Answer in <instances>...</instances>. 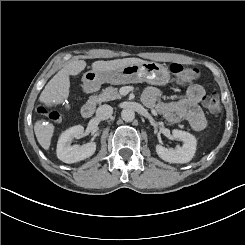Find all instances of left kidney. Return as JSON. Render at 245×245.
<instances>
[{
    "label": "left kidney",
    "instance_id": "5707ae66",
    "mask_svg": "<svg viewBox=\"0 0 245 245\" xmlns=\"http://www.w3.org/2000/svg\"><path fill=\"white\" fill-rule=\"evenodd\" d=\"M172 137L183 142V146H178L176 149H167L162 145H156V152L158 156L170 163H187L192 160L197 146L196 138L182 130H172Z\"/></svg>",
    "mask_w": 245,
    "mask_h": 245
}]
</instances>
